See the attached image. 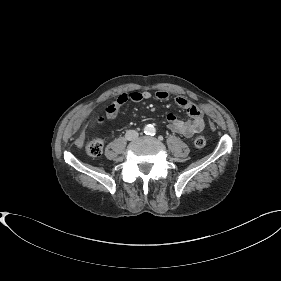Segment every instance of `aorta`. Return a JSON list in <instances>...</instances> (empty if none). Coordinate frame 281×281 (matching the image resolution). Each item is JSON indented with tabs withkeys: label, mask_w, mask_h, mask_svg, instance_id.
Listing matches in <instances>:
<instances>
[{
	"label": "aorta",
	"mask_w": 281,
	"mask_h": 281,
	"mask_svg": "<svg viewBox=\"0 0 281 281\" xmlns=\"http://www.w3.org/2000/svg\"><path fill=\"white\" fill-rule=\"evenodd\" d=\"M155 132V128L153 125H147L144 128V133L148 135H152Z\"/></svg>",
	"instance_id": "762f6f07"
}]
</instances>
